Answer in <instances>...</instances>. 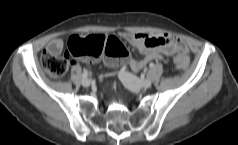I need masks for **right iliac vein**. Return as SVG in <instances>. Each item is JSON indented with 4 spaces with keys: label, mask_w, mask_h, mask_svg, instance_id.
Instances as JSON below:
<instances>
[{
    "label": "right iliac vein",
    "mask_w": 238,
    "mask_h": 145,
    "mask_svg": "<svg viewBox=\"0 0 238 145\" xmlns=\"http://www.w3.org/2000/svg\"><path fill=\"white\" fill-rule=\"evenodd\" d=\"M81 83H82V85H83L84 87H88V86H90V84H91V80L88 79V78H85V79L82 80Z\"/></svg>",
    "instance_id": "1"
}]
</instances>
